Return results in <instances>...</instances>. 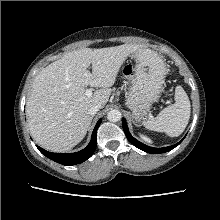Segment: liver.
<instances>
[{
	"label": "liver",
	"mask_w": 220,
	"mask_h": 220,
	"mask_svg": "<svg viewBox=\"0 0 220 220\" xmlns=\"http://www.w3.org/2000/svg\"><path fill=\"white\" fill-rule=\"evenodd\" d=\"M141 48L137 44L91 49L65 54L43 68L34 78L26 103L28 126L43 148L64 152L76 146L90 128L94 104L103 108L111 94L120 67ZM92 65V73L88 67ZM101 88L90 97L85 87Z\"/></svg>",
	"instance_id": "liver-1"
}]
</instances>
